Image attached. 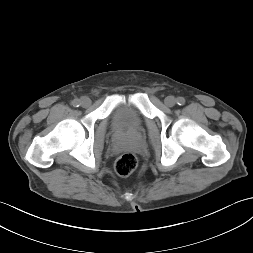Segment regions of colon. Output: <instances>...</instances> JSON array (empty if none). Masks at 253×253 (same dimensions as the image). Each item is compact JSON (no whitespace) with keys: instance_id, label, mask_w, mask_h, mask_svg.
<instances>
[{"instance_id":"colon-1","label":"colon","mask_w":253,"mask_h":253,"mask_svg":"<svg viewBox=\"0 0 253 253\" xmlns=\"http://www.w3.org/2000/svg\"><path fill=\"white\" fill-rule=\"evenodd\" d=\"M137 163L136 155L126 152L116 159L114 169L119 176H128L136 169Z\"/></svg>"}]
</instances>
